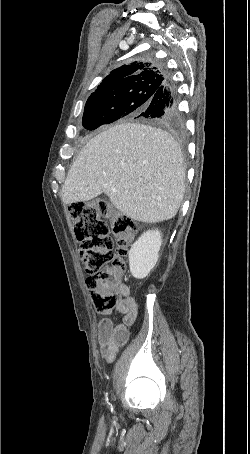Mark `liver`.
<instances>
[{
	"mask_svg": "<svg viewBox=\"0 0 250 454\" xmlns=\"http://www.w3.org/2000/svg\"><path fill=\"white\" fill-rule=\"evenodd\" d=\"M183 162L181 149L168 132L138 123L115 125L82 148L61 198L72 204L105 193L116 209L133 220H169L185 193Z\"/></svg>",
	"mask_w": 250,
	"mask_h": 454,
	"instance_id": "1",
	"label": "liver"
}]
</instances>
